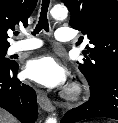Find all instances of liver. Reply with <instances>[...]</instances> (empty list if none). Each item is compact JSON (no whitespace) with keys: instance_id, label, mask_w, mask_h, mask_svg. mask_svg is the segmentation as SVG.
Listing matches in <instances>:
<instances>
[{"instance_id":"obj_1","label":"liver","mask_w":118,"mask_h":123,"mask_svg":"<svg viewBox=\"0 0 118 123\" xmlns=\"http://www.w3.org/2000/svg\"><path fill=\"white\" fill-rule=\"evenodd\" d=\"M0 123H17V120L7 111L0 108Z\"/></svg>"}]
</instances>
